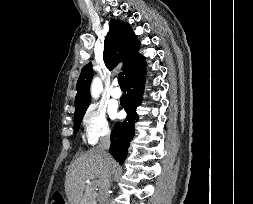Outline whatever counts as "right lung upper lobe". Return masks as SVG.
Masks as SVG:
<instances>
[{
    "mask_svg": "<svg viewBox=\"0 0 253 204\" xmlns=\"http://www.w3.org/2000/svg\"><path fill=\"white\" fill-rule=\"evenodd\" d=\"M140 42L132 29L123 21L111 20L109 32L104 42L103 59L106 66L112 70L120 62L125 77L143 58L137 53ZM93 77L91 63L85 65L77 81V95L75 98V115L87 109L90 102V83Z\"/></svg>",
    "mask_w": 253,
    "mask_h": 204,
    "instance_id": "1",
    "label": "right lung upper lobe"
}]
</instances>
